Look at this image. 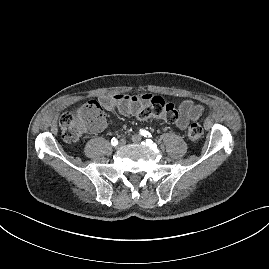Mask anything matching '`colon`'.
<instances>
[{
    "instance_id": "colon-1",
    "label": "colon",
    "mask_w": 269,
    "mask_h": 269,
    "mask_svg": "<svg viewBox=\"0 0 269 269\" xmlns=\"http://www.w3.org/2000/svg\"><path fill=\"white\" fill-rule=\"evenodd\" d=\"M177 115L174 105L166 102L160 96H153L137 114L140 120L161 118L169 123H173ZM103 121L104 116L101 104L98 101L91 100L75 110L64 112L59 123L63 139L72 143L79 140L84 133L98 130ZM202 136V126L197 122H192L188 127L189 139L198 141Z\"/></svg>"
}]
</instances>
